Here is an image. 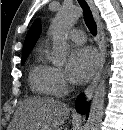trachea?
<instances>
[{
    "instance_id": "obj_1",
    "label": "trachea",
    "mask_w": 123,
    "mask_h": 130,
    "mask_svg": "<svg viewBox=\"0 0 123 130\" xmlns=\"http://www.w3.org/2000/svg\"><path fill=\"white\" fill-rule=\"evenodd\" d=\"M78 2L80 4L81 8L83 9L85 23H86L88 29L90 30L92 35H94V36L97 35V26L93 19V16H92V13H91V10H90L88 4L86 3L85 0H78Z\"/></svg>"
}]
</instances>
